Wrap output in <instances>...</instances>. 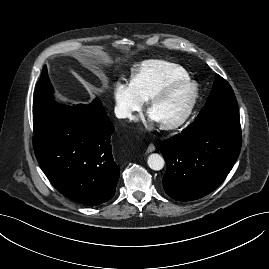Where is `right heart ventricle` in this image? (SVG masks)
<instances>
[{
    "instance_id": "e07e8e85",
    "label": "right heart ventricle",
    "mask_w": 269,
    "mask_h": 269,
    "mask_svg": "<svg viewBox=\"0 0 269 269\" xmlns=\"http://www.w3.org/2000/svg\"><path fill=\"white\" fill-rule=\"evenodd\" d=\"M186 70L176 64L149 60L144 62L132 78V85L144 101L164 87L188 79Z\"/></svg>"
}]
</instances>
